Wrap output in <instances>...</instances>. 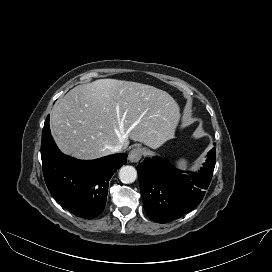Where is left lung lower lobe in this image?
<instances>
[{
  "label": "left lung lower lobe",
  "mask_w": 272,
  "mask_h": 272,
  "mask_svg": "<svg viewBox=\"0 0 272 272\" xmlns=\"http://www.w3.org/2000/svg\"><path fill=\"white\" fill-rule=\"evenodd\" d=\"M216 162L212 148L198 173H183L166 160L145 158L137 166L144 209L155 222L167 223L194 209L204 197Z\"/></svg>",
  "instance_id": "1"
}]
</instances>
